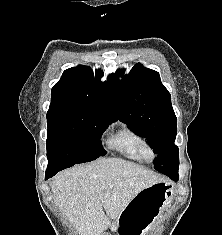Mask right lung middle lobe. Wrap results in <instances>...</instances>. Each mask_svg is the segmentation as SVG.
I'll return each instance as SVG.
<instances>
[{
    "mask_svg": "<svg viewBox=\"0 0 222 235\" xmlns=\"http://www.w3.org/2000/svg\"><path fill=\"white\" fill-rule=\"evenodd\" d=\"M115 118L93 113L63 112L47 115L46 173L89 162L107 152L100 136Z\"/></svg>",
    "mask_w": 222,
    "mask_h": 235,
    "instance_id": "dd1d6c3e",
    "label": "right lung middle lobe"
}]
</instances>
